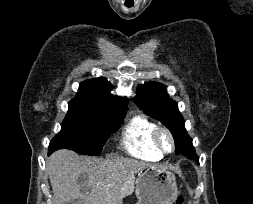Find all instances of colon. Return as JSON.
Returning <instances> with one entry per match:
<instances>
[{
  "mask_svg": "<svg viewBox=\"0 0 253 204\" xmlns=\"http://www.w3.org/2000/svg\"><path fill=\"white\" fill-rule=\"evenodd\" d=\"M175 204H184V197L182 195L178 196Z\"/></svg>",
  "mask_w": 253,
  "mask_h": 204,
  "instance_id": "obj_1",
  "label": "colon"
}]
</instances>
